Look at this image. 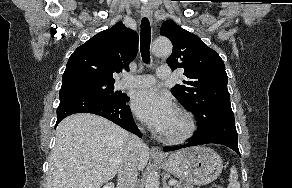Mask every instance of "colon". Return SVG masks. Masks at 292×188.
Returning <instances> with one entry per match:
<instances>
[{
    "label": "colon",
    "mask_w": 292,
    "mask_h": 188,
    "mask_svg": "<svg viewBox=\"0 0 292 188\" xmlns=\"http://www.w3.org/2000/svg\"><path fill=\"white\" fill-rule=\"evenodd\" d=\"M209 188H222L220 185H214V186H211Z\"/></svg>",
    "instance_id": "1"
}]
</instances>
